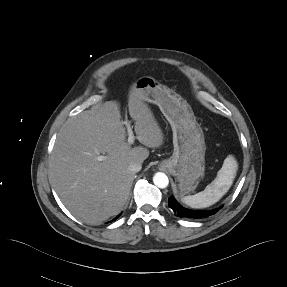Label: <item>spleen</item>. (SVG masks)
Returning <instances> with one entry per match:
<instances>
[{"label": "spleen", "instance_id": "1", "mask_svg": "<svg viewBox=\"0 0 287 287\" xmlns=\"http://www.w3.org/2000/svg\"><path fill=\"white\" fill-rule=\"evenodd\" d=\"M237 169V161L229 155L217 172V177L203 191L183 197L182 202L192 208H206L215 204L232 186Z\"/></svg>", "mask_w": 287, "mask_h": 287}]
</instances>
